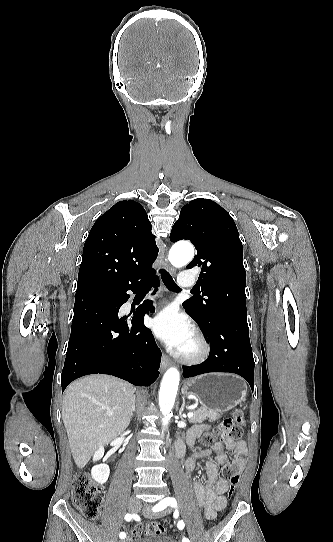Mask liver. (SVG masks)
<instances>
[{"instance_id":"6515ba94","label":"liver","mask_w":333,"mask_h":542,"mask_svg":"<svg viewBox=\"0 0 333 542\" xmlns=\"http://www.w3.org/2000/svg\"><path fill=\"white\" fill-rule=\"evenodd\" d=\"M133 402V386L105 374H91L68 386L62 420L77 468H84L96 448L128 428Z\"/></svg>"}]
</instances>
